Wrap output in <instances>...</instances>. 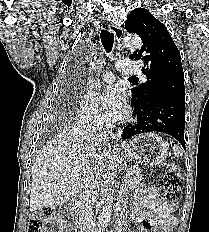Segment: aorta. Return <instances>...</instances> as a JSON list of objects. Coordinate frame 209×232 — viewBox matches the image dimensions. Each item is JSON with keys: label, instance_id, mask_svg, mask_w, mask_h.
<instances>
[{"label": "aorta", "instance_id": "1", "mask_svg": "<svg viewBox=\"0 0 209 232\" xmlns=\"http://www.w3.org/2000/svg\"><path fill=\"white\" fill-rule=\"evenodd\" d=\"M142 45L141 38L137 35L127 34L123 38V46L130 50H138ZM113 194L106 193L105 194V206L99 213L97 220L98 232H103V230L107 227L110 222V218L112 215V205H113Z\"/></svg>", "mask_w": 209, "mask_h": 232}]
</instances>
